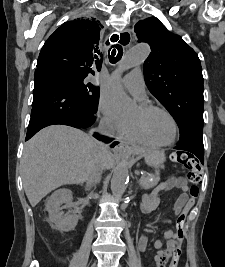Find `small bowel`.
Listing matches in <instances>:
<instances>
[{"label": "small bowel", "mask_w": 225, "mask_h": 267, "mask_svg": "<svg viewBox=\"0 0 225 267\" xmlns=\"http://www.w3.org/2000/svg\"><path fill=\"white\" fill-rule=\"evenodd\" d=\"M173 188H177L184 192L180 195L174 206V212L176 214L179 213L184 204L187 202V195L185 192L187 191L188 188L186 179L180 176L170 177L169 179L161 183L154 191L145 196L141 205V210L144 213L153 212L159 204L160 195ZM164 242L166 243V246L163 248ZM176 244H177V236L176 232H174L173 230H167L164 233L163 240L155 241L154 247L155 249H157V253L154 257V260L156 265H158L160 261L166 262L170 258ZM138 245L141 250L143 251L147 250L148 240L145 234H142L140 236Z\"/></svg>", "instance_id": "small-bowel-1"}]
</instances>
